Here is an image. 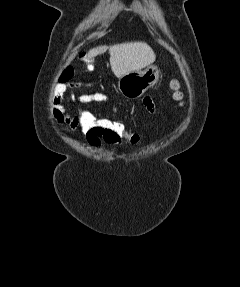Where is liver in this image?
Instances as JSON below:
<instances>
[{
    "label": "liver",
    "instance_id": "1",
    "mask_svg": "<svg viewBox=\"0 0 240 287\" xmlns=\"http://www.w3.org/2000/svg\"><path fill=\"white\" fill-rule=\"evenodd\" d=\"M106 50H109L111 70L117 77L147 67L156 59L154 51L147 43L127 42L93 48L86 54L85 60L103 54Z\"/></svg>",
    "mask_w": 240,
    "mask_h": 287
}]
</instances>
